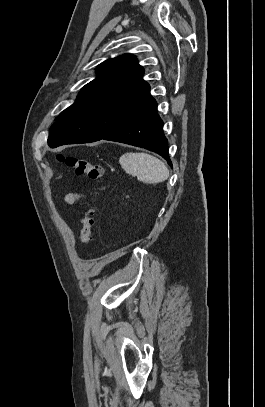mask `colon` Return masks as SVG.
Wrapping results in <instances>:
<instances>
[{
	"label": "colon",
	"instance_id": "1",
	"mask_svg": "<svg viewBox=\"0 0 265 407\" xmlns=\"http://www.w3.org/2000/svg\"><path fill=\"white\" fill-rule=\"evenodd\" d=\"M58 160L65 164L69 169H72L77 175H86L92 180L102 178L104 169L101 165L87 159L74 155H58ZM95 210L91 207L84 211L81 219V231L79 241L82 245H88L92 239V231L94 227Z\"/></svg>",
	"mask_w": 265,
	"mask_h": 407
}]
</instances>
